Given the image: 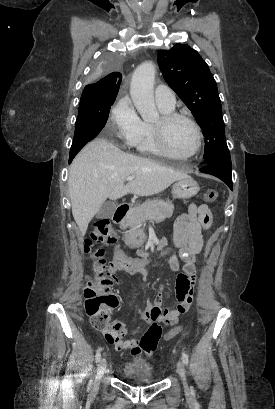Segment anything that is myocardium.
Instances as JSON below:
<instances>
[{"label":"myocardium","mask_w":275,"mask_h":409,"mask_svg":"<svg viewBox=\"0 0 275 409\" xmlns=\"http://www.w3.org/2000/svg\"><path fill=\"white\" fill-rule=\"evenodd\" d=\"M178 121H186L187 123H189L192 126L195 133L196 139L195 146L192 152L189 153L188 155H179L175 153L170 145L169 141L170 130L172 126ZM154 131L158 146L161 148L163 153L168 157H195L201 149L203 141L201 129L197 122L187 115L179 113L163 115L161 116L160 120L154 124Z\"/></svg>","instance_id":"myocardium-1"}]
</instances>
